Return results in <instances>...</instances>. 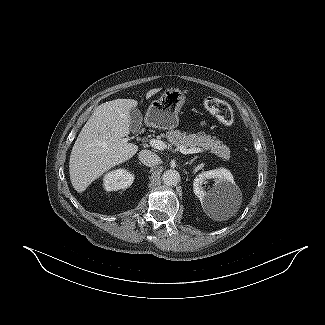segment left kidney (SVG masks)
Wrapping results in <instances>:
<instances>
[{
  "instance_id": "5707ae66",
  "label": "left kidney",
  "mask_w": 325,
  "mask_h": 325,
  "mask_svg": "<svg viewBox=\"0 0 325 325\" xmlns=\"http://www.w3.org/2000/svg\"><path fill=\"white\" fill-rule=\"evenodd\" d=\"M210 179H214L215 183L209 191H205L202 185ZM193 190L200 199L201 205L208 207L210 205H217L224 200H229L232 194L238 190V187L234 182L231 172L220 168L197 175L194 179Z\"/></svg>"
}]
</instances>
